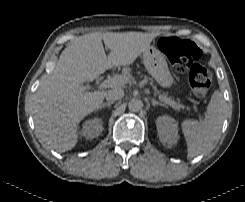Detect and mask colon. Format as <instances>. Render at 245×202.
I'll return each mask as SVG.
<instances>
[{"mask_svg": "<svg viewBox=\"0 0 245 202\" xmlns=\"http://www.w3.org/2000/svg\"><path fill=\"white\" fill-rule=\"evenodd\" d=\"M159 45L172 66L179 73H187L192 92L204 96L212 85V74L202 67L200 49L192 42L179 39L175 36H164Z\"/></svg>", "mask_w": 245, "mask_h": 202, "instance_id": "1", "label": "colon"}]
</instances>
